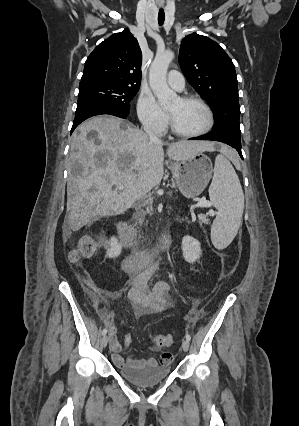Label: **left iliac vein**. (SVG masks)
Returning a JSON list of instances; mask_svg holds the SVG:
<instances>
[{
    "label": "left iliac vein",
    "instance_id": "obj_1",
    "mask_svg": "<svg viewBox=\"0 0 299 426\" xmlns=\"http://www.w3.org/2000/svg\"><path fill=\"white\" fill-rule=\"evenodd\" d=\"M189 346H190V343H189L188 340H183L182 341V348H183L184 351H188Z\"/></svg>",
    "mask_w": 299,
    "mask_h": 426
}]
</instances>
